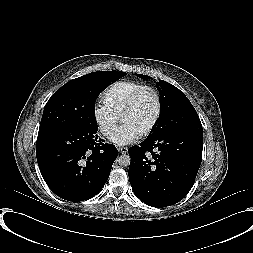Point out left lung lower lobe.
Returning a JSON list of instances; mask_svg holds the SVG:
<instances>
[{"instance_id":"left-lung-lower-lobe-1","label":"left lung lower lobe","mask_w":253,"mask_h":253,"mask_svg":"<svg viewBox=\"0 0 253 253\" xmlns=\"http://www.w3.org/2000/svg\"><path fill=\"white\" fill-rule=\"evenodd\" d=\"M203 134L176 131L147 138L129 149V181L134 194L152 207L182 200L202 161Z\"/></svg>"}]
</instances>
